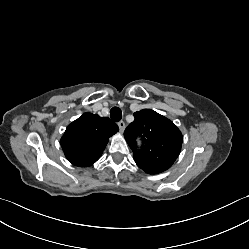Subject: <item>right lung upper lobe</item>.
<instances>
[{
	"instance_id": "right-lung-upper-lobe-1",
	"label": "right lung upper lobe",
	"mask_w": 249,
	"mask_h": 249,
	"mask_svg": "<svg viewBox=\"0 0 249 249\" xmlns=\"http://www.w3.org/2000/svg\"><path fill=\"white\" fill-rule=\"evenodd\" d=\"M118 130L109 118L86 112L68 125L60 144L68 161L87 167L100 158L109 137Z\"/></svg>"
}]
</instances>
